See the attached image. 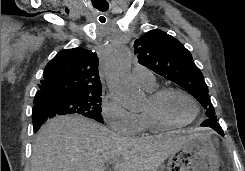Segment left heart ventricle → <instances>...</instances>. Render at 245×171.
I'll list each match as a JSON object with an SVG mask.
<instances>
[{
	"label": "left heart ventricle",
	"mask_w": 245,
	"mask_h": 171,
	"mask_svg": "<svg viewBox=\"0 0 245 171\" xmlns=\"http://www.w3.org/2000/svg\"><path fill=\"white\" fill-rule=\"evenodd\" d=\"M148 106L149 101L146 109ZM161 111L167 120L173 123H184L193 117L194 106L184 95L178 92H170L162 99Z\"/></svg>",
	"instance_id": "1"
}]
</instances>
